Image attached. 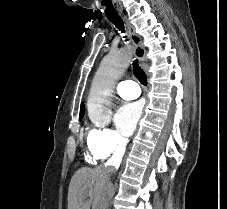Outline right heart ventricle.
Listing matches in <instances>:
<instances>
[{
    "mask_svg": "<svg viewBox=\"0 0 227 209\" xmlns=\"http://www.w3.org/2000/svg\"><path fill=\"white\" fill-rule=\"evenodd\" d=\"M85 160L90 165H96L103 158L97 150L88 145L85 152Z\"/></svg>",
    "mask_w": 227,
    "mask_h": 209,
    "instance_id": "obj_1",
    "label": "right heart ventricle"
}]
</instances>
